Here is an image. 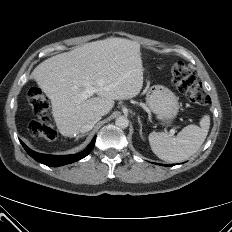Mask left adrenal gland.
<instances>
[{"instance_id": "a2214340", "label": "left adrenal gland", "mask_w": 232, "mask_h": 232, "mask_svg": "<svg viewBox=\"0 0 232 232\" xmlns=\"http://www.w3.org/2000/svg\"><path fill=\"white\" fill-rule=\"evenodd\" d=\"M138 123H139V126H140V129H139V134H140V137L142 139H144L143 135H142V123H141V120H140V117L138 116Z\"/></svg>"}]
</instances>
